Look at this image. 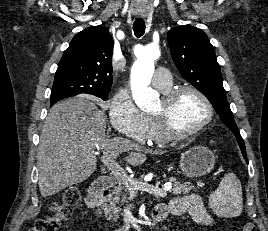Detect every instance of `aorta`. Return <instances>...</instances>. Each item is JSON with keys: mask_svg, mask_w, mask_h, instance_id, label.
I'll use <instances>...</instances> for the list:
<instances>
[{"mask_svg": "<svg viewBox=\"0 0 268 231\" xmlns=\"http://www.w3.org/2000/svg\"><path fill=\"white\" fill-rule=\"evenodd\" d=\"M160 56L157 45L145 46L131 69V90L136 105L145 110L153 105L158 93L149 85L154 73V61Z\"/></svg>", "mask_w": 268, "mask_h": 231, "instance_id": "1", "label": "aorta"}]
</instances>
